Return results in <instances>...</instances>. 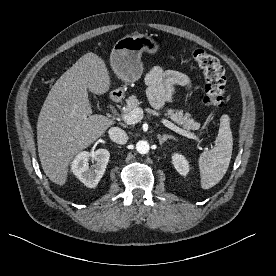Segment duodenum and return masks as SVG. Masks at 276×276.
Here are the masks:
<instances>
[{"mask_svg": "<svg viewBox=\"0 0 276 276\" xmlns=\"http://www.w3.org/2000/svg\"><path fill=\"white\" fill-rule=\"evenodd\" d=\"M118 99H119V98H118L117 96H113V97H112V100H113V101H116V100H118Z\"/></svg>", "mask_w": 276, "mask_h": 276, "instance_id": "duodenum-1", "label": "duodenum"}]
</instances>
